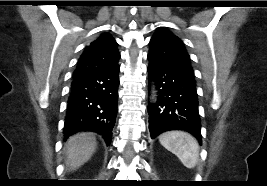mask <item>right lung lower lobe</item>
<instances>
[{
    "instance_id": "1",
    "label": "right lung lower lobe",
    "mask_w": 267,
    "mask_h": 186,
    "mask_svg": "<svg viewBox=\"0 0 267 186\" xmlns=\"http://www.w3.org/2000/svg\"><path fill=\"white\" fill-rule=\"evenodd\" d=\"M118 62L73 75L63 133L67 139L80 131H93L109 145L118 101Z\"/></svg>"
}]
</instances>
